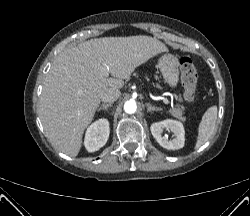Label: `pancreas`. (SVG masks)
<instances>
[{
  "mask_svg": "<svg viewBox=\"0 0 250 216\" xmlns=\"http://www.w3.org/2000/svg\"><path fill=\"white\" fill-rule=\"evenodd\" d=\"M170 113L177 119L184 121L185 117H183L184 111L180 107H175L170 109Z\"/></svg>",
  "mask_w": 250,
  "mask_h": 216,
  "instance_id": "pancreas-1",
  "label": "pancreas"
}]
</instances>
